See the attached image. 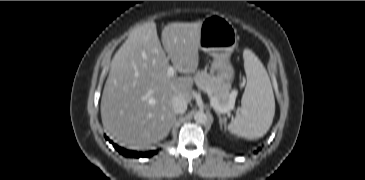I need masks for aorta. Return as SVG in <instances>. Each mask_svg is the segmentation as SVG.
Instances as JSON below:
<instances>
[{
    "mask_svg": "<svg viewBox=\"0 0 365 180\" xmlns=\"http://www.w3.org/2000/svg\"><path fill=\"white\" fill-rule=\"evenodd\" d=\"M207 115L203 112V111H198L195 115H194V120L197 122V123H206L207 122Z\"/></svg>",
    "mask_w": 365,
    "mask_h": 180,
    "instance_id": "obj_1",
    "label": "aorta"
}]
</instances>
